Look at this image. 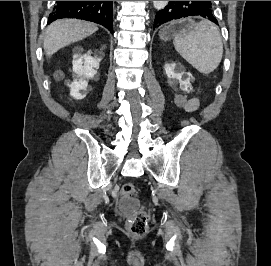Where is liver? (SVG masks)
I'll return each instance as SVG.
<instances>
[{
	"mask_svg": "<svg viewBox=\"0 0 271 266\" xmlns=\"http://www.w3.org/2000/svg\"><path fill=\"white\" fill-rule=\"evenodd\" d=\"M98 30L95 24L76 19H60L51 23L44 38V51L52 56L59 49L82 40Z\"/></svg>",
	"mask_w": 271,
	"mask_h": 266,
	"instance_id": "1",
	"label": "liver"
}]
</instances>
